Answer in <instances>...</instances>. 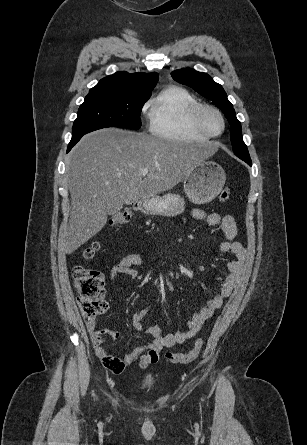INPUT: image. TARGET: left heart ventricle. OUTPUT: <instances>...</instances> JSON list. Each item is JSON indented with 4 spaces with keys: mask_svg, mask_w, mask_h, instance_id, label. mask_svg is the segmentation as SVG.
<instances>
[{
    "mask_svg": "<svg viewBox=\"0 0 307 445\" xmlns=\"http://www.w3.org/2000/svg\"><path fill=\"white\" fill-rule=\"evenodd\" d=\"M209 124L213 133H220L223 130V121L217 114H212L209 118Z\"/></svg>",
    "mask_w": 307,
    "mask_h": 445,
    "instance_id": "left-heart-ventricle-1",
    "label": "left heart ventricle"
}]
</instances>
